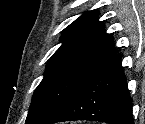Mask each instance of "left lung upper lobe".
<instances>
[{"label": "left lung upper lobe", "mask_w": 145, "mask_h": 124, "mask_svg": "<svg viewBox=\"0 0 145 124\" xmlns=\"http://www.w3.org/2000/svg\"><path fill=\"white\" fill-rule=\"evenodd\" d=\"M95 11H88L63 32L36 88L25 124H43L115 54Z\"/></svg>", "instance_id": "left-lung-upper-lobe-1"}]
</instances>
